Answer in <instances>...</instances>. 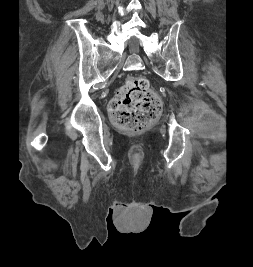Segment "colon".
Returning a JSON list of instances; mask_svg holds the SVG:
<instances>
[{
    "mask_svg": "<svg viewBox=\"0 0 253 267\" xmlns=\"http://www.w3.org/2000/svg\"><path fill=\"white\" fill-rule=\"evenodd\" d=\"M114 124L135 133L148 126L160 113L162 104L146 78L129 77L109 104Z\"/></svg>",
    "mask_w": 253,
    "mask_h": 267,
    "instance_id": "5ec220e1",
    "label": "colon"
}]
</instances>
